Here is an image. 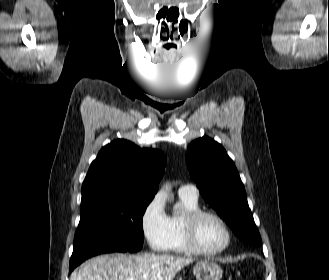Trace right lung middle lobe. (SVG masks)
Returning <instances> with one entry per match:
<instances>
[{
    "label": "right lung middle lobe",
    "mask_w": 329,
    "mask_h": 280,
    "mask_svg": "<svg viewBox=\"0 0 329 280\" xmlns=\"http://www.w3.org/2000/svg\"><path fill=\"white\" fill-rule=\"evenodd\" d=\"M152 199L121 196L82 205L70 268L100 251H139L144 241L142 217Z\"/></svg>",
    "instance_id": "right-lung-middle-lobe-1"
}]
</instances>
